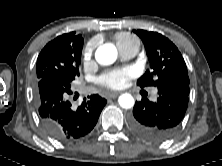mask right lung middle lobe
I'll return each instance as SVG.
<instances>
[{
	"label": "right lung middle lobe",
	"instance_id": "dd1d6c3e",
	"mask_svg": "<svg viewBox=\"0 0 222 166\" xmlns=\"http://www.w3.org/2000/svg\"><path fill=\"white\" fill-rule=\"evenodd\" d=\"M65 43H48L37 58V79L48 75H61L72 82L79 75L83 38L71 32Z\"/></svg>",
	"mask_w": 222,
	"mask_h": 166
}]
</instances>
